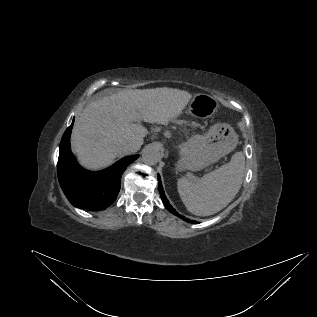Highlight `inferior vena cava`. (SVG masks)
<instances>
[{
  "label": "inferior vena cava",
  "instance_id": "obj_1",
  "mask_svg": "<svg viewBox=\"0 0 317 317\" xmlns=\"http://www.w3.org/2000/svg\"><path fill=\"white\" fill-rule=\"evenodd\" d=\"M119 152L121 154H130L132 152H135L137 150V146L135 143L132 142H123L119 148H118Z\"/></svg>",
  "mask_w": 317,
  "mask_h": 317
}]
</instances>
